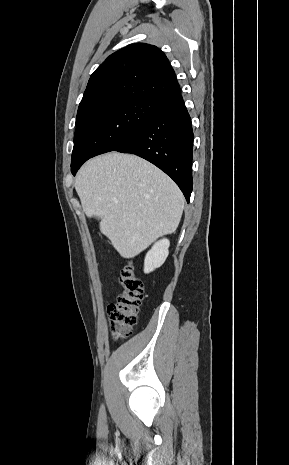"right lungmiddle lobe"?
Here are the masks:
<instances>
[{"label": "right lung middle lobe", "mask_w": 289, "mask_h": 465, "mask_svg": "<svg viewBox=\"0 0 289 465\" xmlns=\"http://www.w3.org/2000/svg\"><path fill=\"white\" fill-rule=\"evenodd\" d=\"M159 104L128 100L101 108L76 123L71 168L83 160L113 151L144 126Z\"/></svg>", "instance_id": "right-lung-middle-lobe-1"}]
</instances>
